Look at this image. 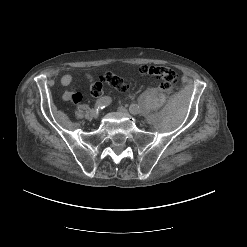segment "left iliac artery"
I'll use <instances>...</instances> for the list:
<instances>
[{
    "label": "left iliac artery",
    "mask_w": 247,
    "mask_h": 247,
    "mask_svg": "<svg viewBox=\"0 0 247 247\" xmlns=\"http://www.w3.org/2000/svg\"><path fill=\"white\" fill-rule=\"evenodd\" d=\"M129 110L132 115H138L140 113V107L137 104H132Z\"/></svg>",
    "instance_id": "obj_1"
}]
</instances>
